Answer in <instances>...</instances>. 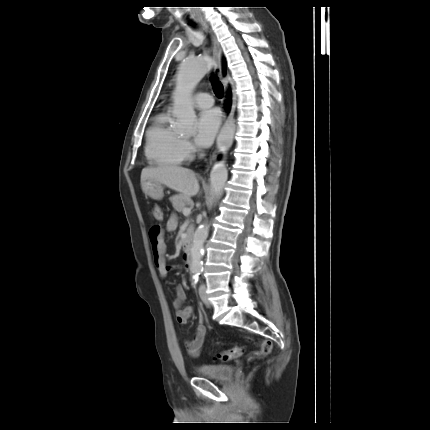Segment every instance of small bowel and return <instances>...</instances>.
Instances as JSON below:
<instances>
[{"mask_svg":"<svg viewBox=\"0 0 430 430\" xmlns=\"http://www.w3.org/2000/svg\"><path fill=\"white\" fill-rule=\"evenodd\" d=\"M176 226L177 220L174 216H172L167 221L165 229L159 226H153L149 231V240L151 243L154 264L161 278H166L170 270V266L166 264L165 260V235L166 232L174 231ZM182 268L186 271L188 270V265L184 264ZM185 301V291L182 287L179 286L176 288V295L172 301V306L176 313V321L180 325L187 324L194 311L192 306L185 305ZM203 321V317L202 315H200L199 324L194 332V335L192 336V338L185 341L186 352L188 353V355L194 358L200 355L207 332Z\"/></svg>","mask_w":430,"mask_h":430,"instance_id":"small-bowel-1","label":"small bowel"}]
</instances>
